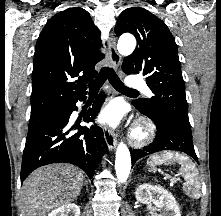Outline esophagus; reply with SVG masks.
Segmentation results:
<instances>
[{
    "instance_id": "34e87169",
    "label": "esophagus",
    "mask_w": 221,
    "mask_h": 216,
    "mask_svg": "<svg viewBox=\"0 0 221 216\" xmlns=\"http://www.w3.org/2000/svg\"><path fill=\"white\" fill-rule=\"evenodd\" d=\"M108 56L112 66L118 70L121 65V56L116 49V40L113 35H111L108 45ZM103 135L108 148L114 150L117 145V140L113 130L109 126L104 125Z\"/></svg>"
}]
</instances>
